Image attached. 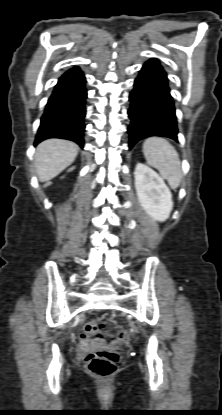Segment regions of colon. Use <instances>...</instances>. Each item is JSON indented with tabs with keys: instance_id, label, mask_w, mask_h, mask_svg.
Returning a JSON list of instances; mask_svg holds the SVG:
<instances>
[{
	"instance_id": "1",
	"label": "colon",
	"mask_w": 222,
	"mask_h": 415,
	"mask_svg": "<svg viewBox=\"0 0 222 415\" xmlns=\"http://www.w3.org/2000/svg\"><path fill=\"white\" fill-rule=\"evenodd\" d=\"M110 331L105 323L90 321L83 325L81 336L83 338L108 337ZM115 336L118 339L125 337V331L121 327L115 328ZM119 362V355L108 351L89 352L84 359V365L89 373L101 378H108L114 374Z\"/></svg>"
}]
</instances>
